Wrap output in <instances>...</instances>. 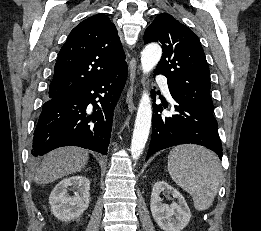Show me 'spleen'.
Returning a JSON list of instances; mask_svg holds the SVG:
<instances>
[{"label":"spleen","mask_w":261,"mask_h":231,"mask_svg":"<svg viewBox=\"0 0 261 231\" xmlns=\"http://www.w3.org/2000/svg\"><path fill=\"white\" fill-rule=\"evenodd\" d=\"M168 171L173 181L192 196L197 210L211 206L222 178L216 154L200 146H176L168 156Z\"/></svg>","instance_id":"spleen-1"}]
</instances>
